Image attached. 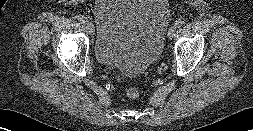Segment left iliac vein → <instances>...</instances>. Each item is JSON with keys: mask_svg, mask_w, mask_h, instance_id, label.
I'll list each match as a JSON object with an SVG mask.
<instances>
[{"mask_svg": "<svg viewBox=\"0 0 253 131\" xmlns=\"http://www.w3.org/2000/svg\"><path fill=\"white\" fill-rule=\"evenodd\" d=\"M176 30H177V26H176V25H172V26L168 29L167 36H168L169 39H172V37L174 36Z\"/></svg>", "mask_w": 253, "mask_h": 131, "instance_id": "left-iliac-vein-1", "label": "left iliac vein"}]
</instances>
